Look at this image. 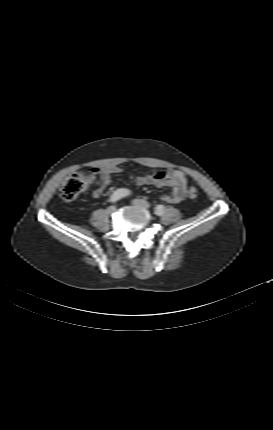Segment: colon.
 Instances as JSON below:
<instances>
[{"mask_svg":"<svg viewBox=\"0 0 273 430\" xmlns=\"http://www.w3.org/2000/svg\"><path fill=\"white\" fill-rule=\"evenodd\" d=\"M93 182V176L84 171L72 174L63 184L60 190V197L65 201H71L84 192ZM199 192L196 188L191 187L188 190V197L194 199Z\"/></svg>","mask_w":273,"mask_h":430,"instance_id":"colon-1","label":"colon"}]
</instances>
